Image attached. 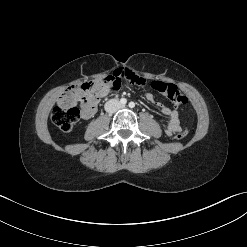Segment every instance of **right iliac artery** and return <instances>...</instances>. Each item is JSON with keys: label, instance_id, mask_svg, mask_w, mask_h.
<instances>
[{"label": "right iliac artery", "instance_id": "1", "mask_svg": "<svg viewBox=\"0 0 247 247\" xmlns=\"http://www.w3.org/2000/svg\"><path fill=\"white\" fill-rule=\"evenodd\" d=\"M120 103H121L122 105H125V104L127 103V100H126L125 98H121V99H120Z\"/></svg>", "mask_w": 247, "mask_h": 247}]
</instances>
